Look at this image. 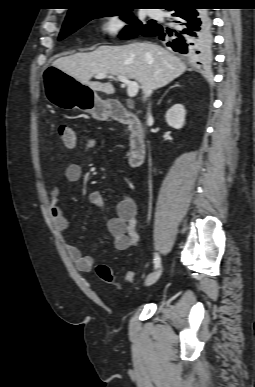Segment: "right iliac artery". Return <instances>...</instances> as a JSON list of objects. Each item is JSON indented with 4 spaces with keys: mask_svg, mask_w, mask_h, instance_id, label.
<instances>
[{
    "mask_svg": "<svg viewBox=\"0 0 255 387\" xmlns=\"http://www.w3.org/2000/svg\"><path fill=\"white\" fill-rule=\"evenodd\" d=\"M160 266V257L156 254L154 256V268H158Z\"/></svg>",
    "mask_w": 255,
    "mask_h": 387,
    "instance_id": "right-iliac-artery-1",
    "label": "right iliac artery"
}]
</instances>
